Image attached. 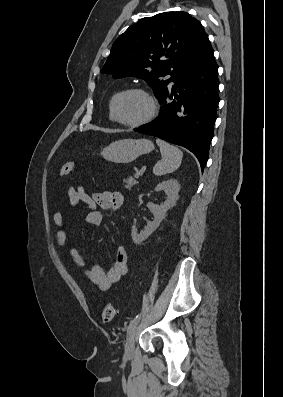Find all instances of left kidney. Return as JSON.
Here are the masks:
<instances>
[{
  "label": "left kidney",
  "mask_w": 283,
  "mask_h": 397,
  "mask_svg": "<svg viewBox=\"0 0 283 397\" xmlns=\"http://www.w3.org/2000/svg\"><path fill=\"white\" fill-rule=\"evenodd\" d=\"M164 191L167 198L163 205H156L151 202L148 203V208L154 215L153 221H149L145 226L144 230L137 233L135 227H132L131 235L132 240L135 244H140L146 240L160 225L161 221L165 218L167 211L173 207L178 200V193L180 190V184L175 179H169L164 182L159 183L155 187V191Z\"/></svg>",
  "instance_id": "obj_1"
}]
</instances>
